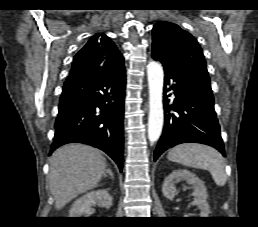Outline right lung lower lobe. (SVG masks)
I'll return each mask as SVG.
<instances>
[{"label":"right lung lower lobe","mask_w":258,"mask_h":227,"mask_svg":"<svg viewBox=\"0 0 258 227\" xmlns=\"http://www.w3.org/2000/svg\"><path fill=\"white\" fill-rule=\"evenodd\" d=\"M125 85L123 59L95 73L67 78L50 154L67 143H85L106 152L122 171Z\"/></svg>","instance_id":"98d812e1"}]
</instances>
